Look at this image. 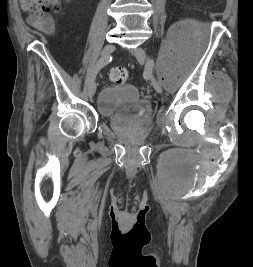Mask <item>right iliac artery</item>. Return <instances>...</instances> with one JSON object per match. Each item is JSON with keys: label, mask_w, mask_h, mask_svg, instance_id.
<instances>
[{"label": "right iliac artery", "mask_w": 253, "mask_h": 267, "mask_svg": "<svg viewBox=\"0 0 253 267\" xmlns=\"http://www.w3.org/2000/svg\"><path fill=\"white\" fill-rule=\"evenodd\" d=\"M111 61H112V57L109 55L100 57L99 60L97 61L96 65H95L94 69L92 70L91 74L88 76V79H87L88 84L87 85H89L92 81H94L98 71L100 69H102L105 65H107Z\"/></svg>", "instance_id": "right-iliac-artery-1"}]
</instances>
